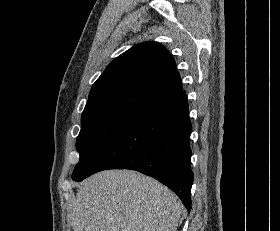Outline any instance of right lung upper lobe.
<instances>
[{
    "mask_svg": "<svg viewBox=\"0 0 280 231\" xmlns=\"http://www.w3.org/2000/svg\"><path fill=\"white\" fill-rule=\"evenodd\" d=\"M174 58L157 42L137 44L114 59L95 81L81 119L137 122L187 103Z\"/></svg>",
    "mask_w": 280,
    "mask_h": 231,
    "instance_id": "obj_1",
    "label": "right lung upper lobe"
}]
</instances>
